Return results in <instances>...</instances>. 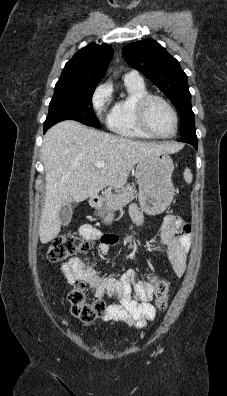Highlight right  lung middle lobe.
Returning a JSON list of instances; mask_svg holds the SVG:
<instances>
[{"label":"right lung middle lobe","mask_w":227,"mask_h":396,"mask_svg":"<svg viewBox=\"0 0 227 396\" xmlns=\"http://www.w3.org/2000/svg\"><path fill=\"white\" fill-rule=\"evenodd\" d=\"M98 83L59 79L45 123L72 119L87 126L101 127L92 108V96Z\"/></svg>","instance_id":"1"}]
</instances>
